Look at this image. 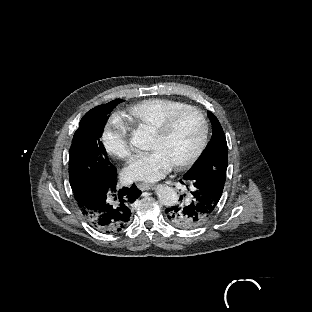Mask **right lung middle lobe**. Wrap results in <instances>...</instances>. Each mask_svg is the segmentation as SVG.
Segmentation results:
<instances>
[{"label": "right lung middle lobe", "mask_w": 312, "mask_h": 312, "mask_svg": "<svg viewBox=\"0 0 312 312\" xmlns=\"http://www.w3.org/2000/svg\"><path fill=\"white\" fill-rule=\"evenodd\" d=\"M113 107L93 108L87 112L73 136L69 151V181L74 194L82 187L116 176V167L109 161L100 141L106 114Z\"/></svg>", "instance_id": "obj_1"}]
</instances>
